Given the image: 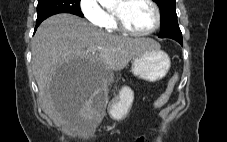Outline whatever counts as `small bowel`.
Segmentation results:
<instances>
[{
    "mask_svg": "<svg viewBox=\"0 0 227 142\" xmlns=\"http://www.w3.org/2000/svg\"><path fill=\"white\" fill-rule=\"evenodd\" d=\"M136 142H145V137L144 136H140L136 139Z\"/></svg>",
    "mask_w": 227,
    "mask_h": 142,
    "instance_id": "1",
    "label": "small bowel"
}]
</instances>
